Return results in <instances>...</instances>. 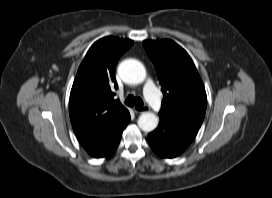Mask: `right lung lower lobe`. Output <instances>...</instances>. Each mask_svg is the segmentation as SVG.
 <instances>
[{"instance_id":"98d812e1","label":"right lung lower lobe","mask_w":272,"mask_h":198,"mask_svg":"<svg viewBox=\"0 0 272 198\" xmlns=\"http://www.w3.org/2000/svg\"><path fill=\"white\" fill-rule=\"evenodd\" d=\"M130 121V114L127 111L119 120L113 123L99 138L92 143L83 146L86 151L96 158L106 157L112 154L120 141L123 130Z\"/></svg>"}]
</instances>
